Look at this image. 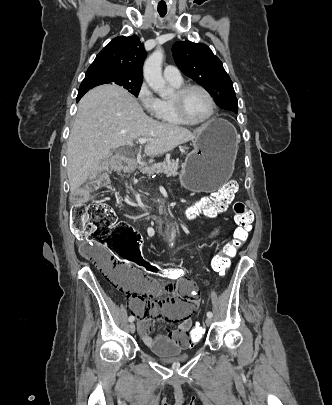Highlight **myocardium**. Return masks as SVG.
Masks as SVG:
<instances>
[{
  "label": "myocardium",
  "instance_id": "f54148a6",
  "mask_svg": "<svg viewBox=\"0 0 332 405\" xmlns=\"http://www.w3.org/2000/svg\"><path fill=\"white\" fill-rule=\"evenodd\" d=\"M190 90H199V91L203 92L208 97V99L211 103L210 113L205 118L198 120V121L189 119L186 116L185 111H184V103H183L184 98ZM171 103H172V106H173V109H174V112H175L177 118L183 124H187V125H191V126L207 124L214 118L216 111H217V105H216V101H215L213 95L210 93V91L207 88H205L204 86L199 85V84H187V85H183V86L177 88L171 98Z\"/></svg>",
  "mask_w": 332,
  "mask_h": 405
}]
</instances>
